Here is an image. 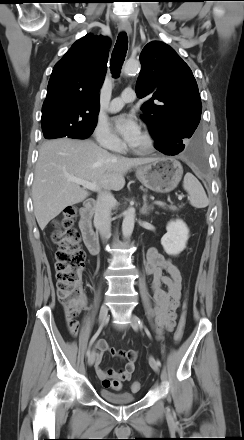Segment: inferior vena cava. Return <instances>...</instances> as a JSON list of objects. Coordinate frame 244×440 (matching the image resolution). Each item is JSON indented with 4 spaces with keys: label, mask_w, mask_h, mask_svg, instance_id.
I'll return each mask as SVG.
<instances>
[{
    "label": "inferior vena cava",
    "mask_w": 244,
    "mask_h": 440,
    "mask_svg": "<svg viewBox=\"0 0 244 440\" xmlns=\"http://www.w3.org/2000/svg\"><path fill=\"white\" fill-rule=\"evenodd\" d=\"M114 197L105 189L97 197L95 206L94 225L99 230L102 240H106L111 235V206Z\"/></svg>",
    "instance_id": "1"
}]
</instances>
